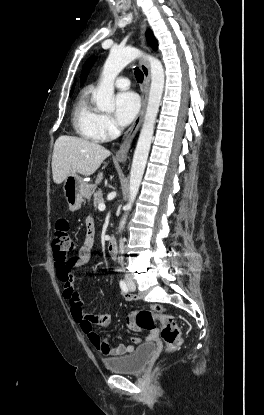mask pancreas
I'll use <instances>...</instances> for the list:
<instances>
[{"label": "pancreas", "mask_w": 264, "mask_h": 415, "mask_svg": "<svg viewBox=\"0 0 264 415\" xmlns=\"http://www.w3.org/2000/svg\"><path fill=\"white\" fill-rule=\"evenodd\" d=\"M93 200H94V207L96 208L100 203H104V199H103V193L101 190H98L97 192L94 193L93 196Z\"/></svg>", "instance_id": "cf45deb5"}]
</instances>
